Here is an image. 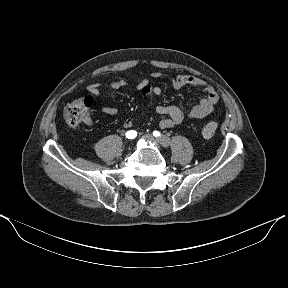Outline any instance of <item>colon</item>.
<instances>
[{"instance_id": "5ec220e1", "label": "colon", "mask_w": 288, "mask_h": 288, "mask_svg": "<svg viewBox=\"0 0 288 288\" xmlns=\"http://www.w3.org/2000/svg\"><path fill=\"white\" fill-rule=\"evenodd\" d=\"M94 105V99L91 96L82 97L68 103L64 107L63 119L69 127H76L81 123L90 121V111ZM215 121L208 122L202 128V135L205 138L212 137L217 130Z\"/></svg>"}]
</instances>
